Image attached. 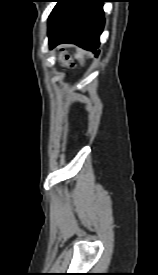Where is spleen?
Here are the masks:
<instances>
[{
  "mask_svg": "<svg viewBox=\"0 0 158 275\" xmlns=\"http://www.w3.org/2000/svg\"><path fill=\"white\" fill-rule=\"evenodd\" d=\"M75 58L79 59L81 65H84V59L81 54H76Z\"/></svg>",
  "mask_w": 158,
  "mask_h": 275,
  "instance_id": "spleen-1",
  "label": "spleen"
}]
</instances>
